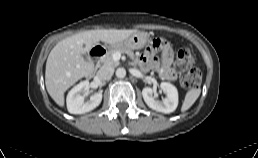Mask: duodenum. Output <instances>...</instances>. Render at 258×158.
<instances>
[{"instance_id": "obj_1", "label": "duodenum", "mask_w": 258, "mask_h": 158, "mask_svg": "<svg viewBox=\"0 0 258 158\" xmlns=\"http://www.w3.org/2000/svg\"><path fill=\"white\" fill-rule=\"evenodd\" d=\"M106 53V48L103 45L95 46L89 54V62L94 66L100 62Z\"/></svg>"}]
</instances>
